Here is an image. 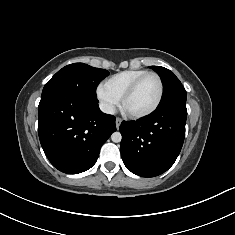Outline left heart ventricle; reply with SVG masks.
<instances>
[{
    "mask_svg": "<svg viewBox=\"0 0 235 235\" xmlns=\"http://www.w3.org/2000/svg\"><path fill=\"white\" fill-rule=\"evenodd\" d=\"M159 95V83L156 77H146L125 103L129 113L143 112L151 108Z\"/></svg>",
    "mask_w": 235,
    "mask_h": 235,
    "instance_id": "1",
    "label": "left heart ventricle"
}]
</instances>
